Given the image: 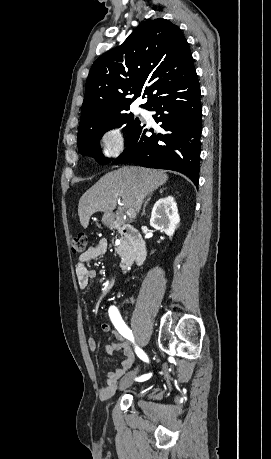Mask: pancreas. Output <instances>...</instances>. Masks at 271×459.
<instances>
[{
  "instance_id": "pancreas-1",
  "label": "pancreas",
  "mask_w": 271,
  "mask_h": 459,
  "mask_svg": "<svg viewBox=\"0 0 271 459\" xmlns=\"http://www.w3.org/2000/svg\"><path fill=\"white\" fill-rule=\"evenodd\" d=\"M115 251L119 253L120 257H127V255H131V247L128 243V239H123L121 237L119 245H116Z\"/></svg>"
}]
</instances>
